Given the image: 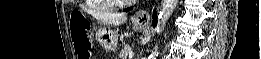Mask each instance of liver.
<instances>
[{
    "label": "liver",
    "mask_w": 261,
    "mask_h": 59,
    "mask_svg": "<svg viewBox=\"0 0 261 59\" xmlns=\"http://www.w3.org/2000/svg\"><path fill=\"white\" fill-rule=\"evenodd\" d=\"M95 17L104 24L118 26L127 21V16L120 13H97Z\"/></svg>",
    "instance_id": "1"
}]
</instances>
